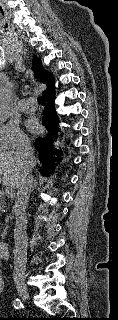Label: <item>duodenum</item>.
I'll list each match as a JSON object with an SVG mask.
<instances>
[{"label": "duodenum", "mask_w": 118, "mask_h": 320, "mask_svg": "<svg viewBox=\"0 0 118 320\" xmlns=\"http://www.w3.org/2000/svg\"><path fill=\"white\" fill-rule=\"evenodd\" d=\"M9 242L7 241H0V258L6 259L8 257L9 251Z\"/></svg>", "instance_id": "1"}]
</instances>
